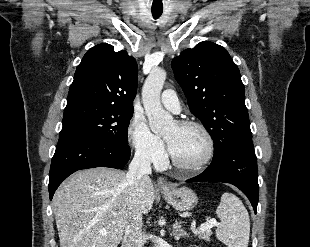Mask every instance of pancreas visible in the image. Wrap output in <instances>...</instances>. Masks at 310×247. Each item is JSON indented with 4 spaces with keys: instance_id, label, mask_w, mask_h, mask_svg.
<instances>
[{
    "instance_id": "pancreas-1",
    "label": "pancreas",
    "mask_w": 310,
    "mask_h": 247,
    "mask_svg": "<svg viewBox=\"0 0 310 247\" xmlns=\"http://www.w3.org/2000/svg\"><path fill=\"white\" fill-rule=\"evenodd\" d=\"M211 235H212V231L210 229L198 232V237L205 241H210Z\"/></svg>"
}]
</instances>
